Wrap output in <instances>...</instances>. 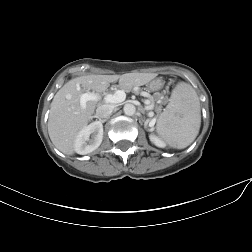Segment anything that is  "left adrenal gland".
<instances>
[{"instance_id": "left-adrenal-gland-1", "label": "left adrenal gland", "mask_w": 252, "mask_h": 252, "mask_svg": "<svg viewBox=\"0 0 252 252\" xmlns=\"http://www.w3.org/2000/svg\"><path fill=\"white\" fill-rule=\"evenodd\" d=\"M149 123V119H147L144 123L145 127L147 126V124Z\"/></svg>"}]
</instances>
